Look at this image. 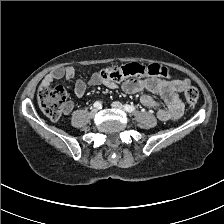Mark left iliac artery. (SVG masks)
Returning a JSON list of instances; mask_svg holds the SVG:
<instances>
[{
  "label": "left iliac artery",
  "instance_id": "44dca946",
  "mask_svg": "<svg viewBox=\"0 0 224 224\" xmlns=\"http://www.w3.org/2000/svg\"><path fill=\"white\" fill-rule=\"evenodd\" d=\"M124 109H125V111H127L129 113L135 111V107L131 106V105H128V104L124 105Z\"/></svg>",
  "mask_w": 224,
  "mask_h": 224
}]
</instances>
